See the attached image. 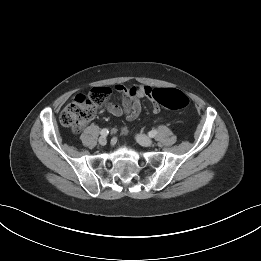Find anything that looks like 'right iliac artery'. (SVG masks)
I'll list each match as a JSON object with an SVG mask.
<instances>
[{
    "label": "right iliac artery",
    "mask_w": 261,
    "mask_h": 261,
    "mask_svg": "<svg viewBox=\"0 0 261 261\" xmlns=\"http://www.w3.org/2000/svg\"><path fill=\"white\" fill-rule=\"evenodd\" d=\"M108 133H109V131H108V129H106V128H104V129H102V130L100 131V134H101L102 136H106Z\"/></svg>",
    "instance_id": "right-iliac-artery-1"
}]
</instances>
